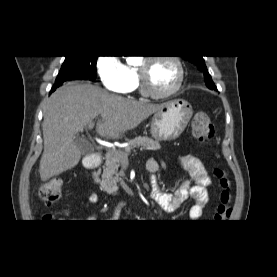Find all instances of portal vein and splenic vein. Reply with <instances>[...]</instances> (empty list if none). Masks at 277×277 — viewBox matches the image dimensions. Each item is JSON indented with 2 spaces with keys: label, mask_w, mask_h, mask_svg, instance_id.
<instances>
[{
  "label": "portal vein and splenic vein",
  "mask_w": 277,
  "mask_h": 277,
  "mask_svg": "<svg viewBox=\"0 0 277 277\" xmlns=\"http://www.w3.org/2000/svg\"><path fill=\"white\" fill-rule=\"evenodd\" d=\"M93 123H90L89 125H88V129H92L93 128ZM108 153L110 154V153H112V150L109 148L108 149ZM126 162H128V159L126 160Z\"/></svg>",
  "instance_id": "obj_1"
}]
</instances>
